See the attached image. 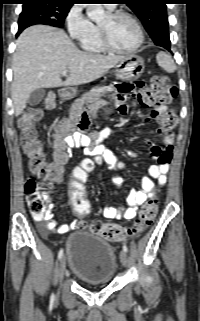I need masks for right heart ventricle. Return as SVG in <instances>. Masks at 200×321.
Listing matches in <instances>:
<instances>
[{
    "label": "right heart ventricle",
    "mask_w": 200,
    "mask_h": 321,
    "mask_svg": "<svg viewBox=\"0 0 200 321\" xmlns=\"http://www.w3.org/2000/svg\"><path fill=\"white\" fill-rule=\"evenodd\" d=\"M79 41L81 47L87 52L102 53L106 51L100 41L98 26L94 24L92 30Z\"/></svg>",
    "instance_id": "e07e8e85"
}]
</instances>
